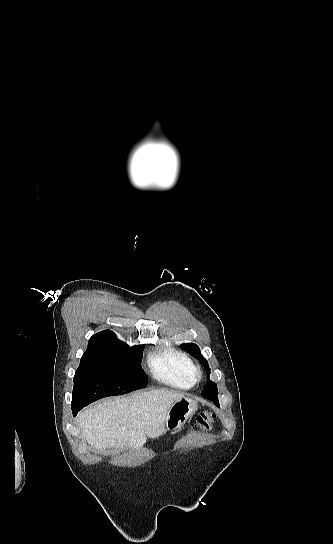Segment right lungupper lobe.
Wrapping results in <instances>:
<instances>
[{
  "label": "right lung upper lobe",
  "instance_id": "cb5924a9",
  "mask_svg": "<svg viewBox=\"0 0 333 544\" xmlns=\"http://www.w3.org/2000/svg\"><path fill=\"white\" fill-rule=\"evenodd\" d=\"M117 341L119 340L111 330H104L90 338L85 353H104Z\"/></svg>",
  "mask_w": 333,
  "mask_h": 544
}]
</instances>
